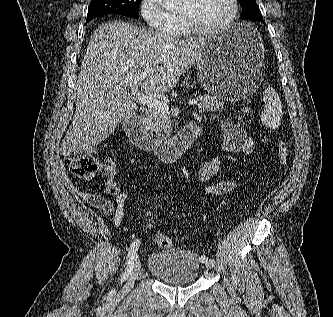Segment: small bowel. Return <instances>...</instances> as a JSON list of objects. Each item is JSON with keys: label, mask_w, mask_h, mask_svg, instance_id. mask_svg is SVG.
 <instances>
[{"label": "small bowel", "mask_w": 333, "mask_h": 317, "mask_svg": "<svg viewBox=\"0 0 333 317\" xmlns=\"http://www.w3.org/2000/svg\"><path fill=\"white\" fill-rule=\"evenodd\" d=\"M224 131L223 153L242 152L250 154L255 148L253 137L239 124L232 121H225L222 124ZM220 158H215L204 163L197 172V178L201 182L208 183L204 190L210 195H225L232 191L236 182L233 180L218 179ZM106 186L104 192L114 196L110 200L104 196L79 191L73 184L68 183L69 190L83 198L91 206L103 211L106 215H112L114 224L120 227L124 219V206L129 197V191H121L116 181V168L109 163L105 169Z\"/></svg>", "instance_id": "small-bowel-1"}]
</instances>
